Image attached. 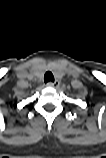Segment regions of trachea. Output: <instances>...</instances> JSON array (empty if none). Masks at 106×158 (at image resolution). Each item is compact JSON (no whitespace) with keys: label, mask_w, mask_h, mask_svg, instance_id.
<instances>
[{"label":"trachea","mask_w":106,"mask_h":158,"mask_svg":"<svg viewBox=\"0 0 106 158\" xmlns=\"http://www.w3.org/2000/svg\"><path fill=\"white\" fill-rule=\"evenodd\" d=\"M54 82V76H53V74L50 72V71H48V72H46L45 73V75H44V82L45 83H48V82Z\"/></svg>","instance_id":"1"}]
</instances>
